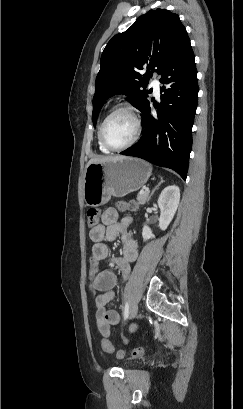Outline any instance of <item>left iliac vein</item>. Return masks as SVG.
I'll return each instance as SVG.
<instances>
[{"label": "left iliac vein", "mask_w": 243, "mask_h": 409, "mask_svg": "<svg viewBox=\"0 0 243 409\" xmlns=\"http://www.w3.org/2000/svg\"><path fill=\"white\" fill-rule=\"evenodd\" d=\"M137 312H138V305L137 303H134L130 310V315H129L130 319L135 318L137 315Z\"/></svg>", "instance_id": "left-iliac-vein-1"}]
</instances>
